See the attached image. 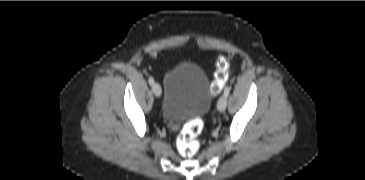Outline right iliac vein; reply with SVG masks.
<instances>
[{
    "label": "right iliac vein",
    "mask_w": 365,
    "mask_h": 180,
    "mask_svg": "<svg viewBox=\"0 0 365 180\" xmlns=\"http://www.w3.org/2000/svg\"><path fill=\"white\" fill-rule=\"evenodd\" d=\"M152 90H153V93L155 94L156 97H160L161 94H162V90H161V87L158 83H154L152 85Z\"/></svg>",
    "instance_id": "right-iliac-vein-1"
}]
</instances>
